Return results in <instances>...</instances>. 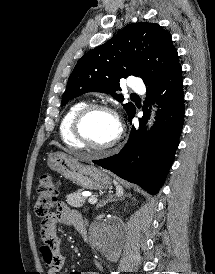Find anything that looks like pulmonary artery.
<instances>
[{"label": "pulmonary artery", "instance_id": "pulmonary-artery-1", "mask_svg": "<svg viewBox=\"0 0 215 274\" xmlns=\"http://www.w3.org/2000/svg\"><path fill=\"white\" fill-rule=\"evenodd\" d=\"M129 87L135 92H144L145 90L143 83L139 79H133L130 82Z\"/></svg>", "mask_w": 215, "mask_h": 274}]
</instances>
